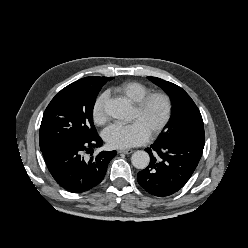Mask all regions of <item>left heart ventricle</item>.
<instances>
[{
  "label": "left heart ventricle",
  "instance_id": "b2bd125f",
  "mask_svg": "<svg viewBox=\"0 0 248 248\" xmlns=\"http://www.w3.org/2000/svg\"><path fill=\"white\" fill-rule=\"evenodd\" d=\"M164 112V103L161 99H153L147 109L140 113L134 109L133 120L141 121L147 130H150L159 122Z\"/></svg>",
  "mask_w": 248,
  "mask_h": 248
}]
</instances>
